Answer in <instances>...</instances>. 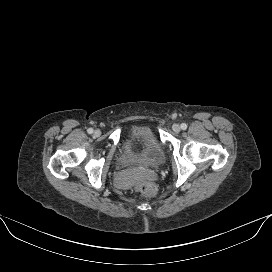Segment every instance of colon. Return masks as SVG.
I'll return each mask as SVG.
<instances>
[{
	"label": "colon",
	"mask_w": 272,
	"mask_h": 272,
	"mask_svg": "<svg viewBox=\"0 0 272 272\" xmlns=\"http://www.w3.org/2000/svg\"><path fill=\"white\" fill-rule=\"evenodd\" d=\"M136 190L147 198L154 197L157 194V187L151 182H143L137 184Z\"/></svg>",
	"instance_id": "obj_1"
}]
</instances>
